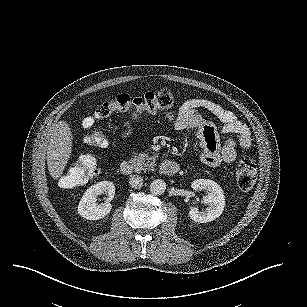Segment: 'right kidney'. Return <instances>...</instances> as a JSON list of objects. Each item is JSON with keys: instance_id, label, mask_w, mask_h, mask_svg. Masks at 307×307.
<instances>
[{"instance_id": "right-kidney-1", "label": "right kidney", "mask_w": 307, "mask_h": 307, "mask_svg": "<svg viewBox=\"0 0 307 307\" xmlns=\"http://www.w3.org/2000/svg\"><path fill=\"white\" fill-rule=\"evenodd\" d=\"M100 194H105L106 198L104 199V202L97 204L96 198ZM114 197L115 186L111 181L98 182L89 187L83 194L78 205V213L85 219H101L111 211V201Z\"/></svg>"}]
</instances>
